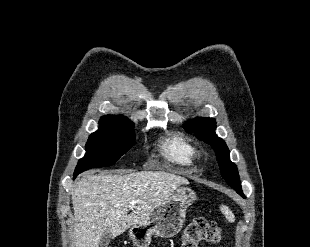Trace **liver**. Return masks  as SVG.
I'll return each mask as SVG.
<instances>
[{
    "instance_id": "obj_1",
    "label": "liver",
    "mask_w": 310,
    "mask_h": 247,
    "mask_svg": "<svg viewBox=\"0 0 310 247\" xmlns=\"http://www.w3.org/2000/svg\"><path fill=\"white\" fill-rule=\"evenodd\" d=\"M183 184H188L186 178L160 170L83 174L72 192L75 247H98L105 232L119 236L144 221ZM133 201L135 207L129 214Z\"/></svg>"
}]
</instances>
